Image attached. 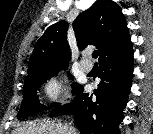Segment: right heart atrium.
Wrapping results in <instances>:
<instances>
[{
	"label": "right heart atrium",
	"instance_id": "right-heart-atrium-1",
	"mask_svg": "<svg viewBox=\"0 0 153 134\" xmlns=\"http://www.w3.org/2000/svg\"><path fill=\"white\" fill-rule=\"evenodd\" d=\"M44 93L51 101H63L65 98L63 80L58 76L50 77L44 85Z\"/></svg>",
	"mask_w": 153,
	"mask_h": 134
}]
</instances>
